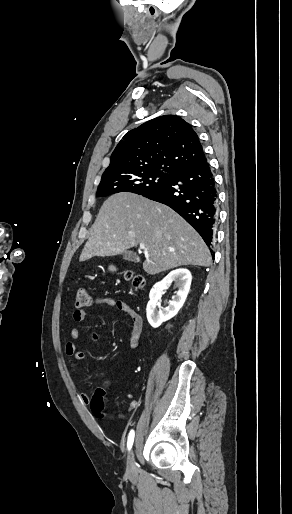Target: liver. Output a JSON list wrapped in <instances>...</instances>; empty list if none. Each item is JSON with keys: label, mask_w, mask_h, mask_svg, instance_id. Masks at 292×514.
<instances>
[{"label": "liver", "mask_w": 292, "mask_h": 514, "mask_svg": "<svg viewBox=\"0 0 292 514\" xmlns=\"http://www.w3.org/2000/svg\"><path fill=\"white\" fill-rule=\"evenodd\" d=\"M138 244L148 252L143 264L147 274L212 262L201 236L179 214L130 192L113 194L101 206L80 262L93 256H118Z\"/></svg>", "instance_id": "6515ba94"}]
</instances>
